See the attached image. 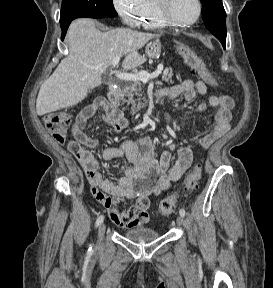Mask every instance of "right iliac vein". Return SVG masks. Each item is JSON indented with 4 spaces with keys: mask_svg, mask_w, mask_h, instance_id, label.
Here are the masks:
<instances>
[{
    "mask_svg": "<svg viewBox=\"0 0 273 288\" xmlns=\"http://www.w3.org/2000/svg\"><path fill=\"white\" fill-rule=\"evenodd\" d=\"M105 229H106L105 224L104 223L100 224L98 228V246L99 247L102 245V241H103L104 234H105Z\"/></svg>",
    "mask_w": 273,
    "mask_h": 288,
    "instance_id": "63e3f726",
    "label": "right iliac vein"
}]
</instances>
